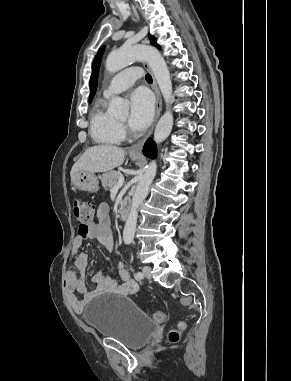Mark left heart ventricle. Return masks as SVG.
<instances>
[{"label": "left heart ventricle", "mask_w": 291, "mask_h": 381, "mask_svg": "<svg viewBox=\"0 0 291 381\" xmlns=\"http://www.w3.org/2000/svg\"><path fill=\"white\" fill-rule=\"evenodd\" d=\"M126 120H127V115L119 118V121H121V122H126Z\"/></svg>", "instance_id": "obj_1"}]
</instances>
